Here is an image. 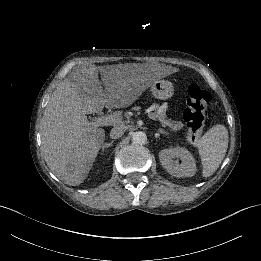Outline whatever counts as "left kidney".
<instances>
[{
  "mask_svg": "<svg viewBox=\"0 0 261 261\" xmlns=\"http://www.w3.org/2000/svg\"><path fill=\"white\" fill-rule=\"evenodd\" d=\"M181 159V164L173 161V158ZM159 160L169 174L175 177H192L196 173L195 159L191 153L183 147L163 149L159 152Z\"/></svg>",
  "mask_w": 261,
  "mask_h": 261,
  "instance_id": "obj_1",
  "label": "left kidney"
}]
</instances>
